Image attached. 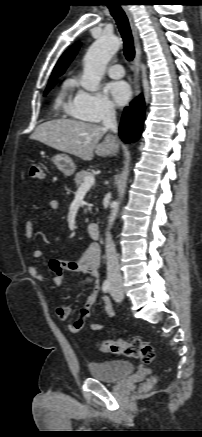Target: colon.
Returning <instances> with one entry per match:
<instances>
[{
	"instance_id": "5ec220e1",
	"label": "colon",
	"mask_w": 202,
	"mask_h": 437,
	"mask_svg": "<svg viewBox=\"0 0 202 437\" xmlns=\"http://www.w3.org/2000/svg\"><path fill=\"white\" fill-rule=\"evenodd\" d=\"M30 176L33 179L38 180H42L44 178V169L41 162L33 161L31 163ZM99 349L104 353H112L116 355H123L129 358H135L145 364H149L155 359L154 347L140 339H133L132 341L105 340L100 344ZM153 383L154 380L148 381L144 385V388H150Z\"/></svg>"
}]
</instances>
